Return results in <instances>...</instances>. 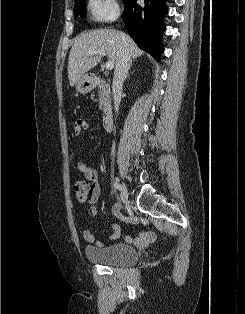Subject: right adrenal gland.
<instances>
[{"label":"right adrenal gland","mask_w":245,"mask_h":314,"mask_svg":"<svg viewBox=\"0 0 245 314\" xmlns=\"http://www.w3.org/2000/svg\"><path fill=\"white\" fill-rule=\"evenodd\" d=\"M131 65H132V62L129 64L128 69H127V71H126L125 80H126V79L128 78V76H129V70H130V68H131Z\"/></svg>","instance_id":"obj_1"}]
</instances>
